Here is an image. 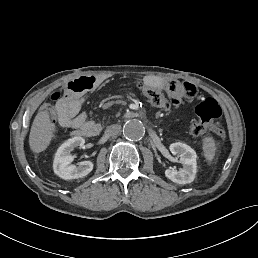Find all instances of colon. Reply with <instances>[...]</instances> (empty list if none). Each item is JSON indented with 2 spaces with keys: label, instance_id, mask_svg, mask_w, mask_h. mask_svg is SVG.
I'll return each mask as SVG.
<instances>
[{
  "label": "colon",
  "instance_id": "obj_1",
  "mask_svg": "<svg viewBox=\"0 0 258 258\" xmlns=\"http://www.w3.org/2000/svg\"><path fill=\"white\" fill-rule=\"evenodd\" d=\"M68 90L70 87L66 85L54 92L51 96L52 102L57 105ZM142 91L152 106L164 110L192 100L196 95V87L193 84L173 79L166 81L163 89L144 86ZM196 115L197 120L190 127L193 136H200L208 130H213L219 137H225L221 127L212 125L221 115V109L214 99L208 98L201 102L196 107Z\"/></svg>",
  "mask_w": 258,
  "mask_h": 258
}]
</instances>
